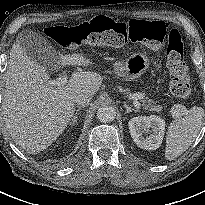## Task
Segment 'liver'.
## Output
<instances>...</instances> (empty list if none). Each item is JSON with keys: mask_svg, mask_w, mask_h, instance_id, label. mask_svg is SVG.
I'll return each mask as SVG.
<instances>
[{"mask_svg": "<svg viewBox=\"0 0 205 205\" xmlns=\"http://www.w3.org/2000/svg\"><path fill=\"white\" fill-rule=\"evenodd\" d=\"M83 54H59L58 66L93 65ZM50 75L13 44L6 72L3 114L13 140L28 153L49 147L64 131L75 112V97L96 94L102 77L91 71L74 72L63 86L49 85Z\"/></svg>", "mask_w": 205, "mask_h": 205, "instance_id": "6515ba94", "label": "liver"}]
</instances>
